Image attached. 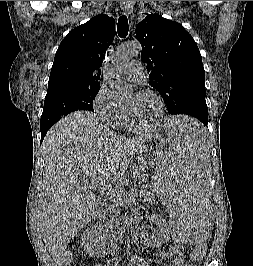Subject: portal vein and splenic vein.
Here are the masks:
<instances>
[{"label":"portal vein and splenic vein","mask_w":253,"mask_h":266,"mask_svg":"<svg viewBox=\"0 0 253 266\" xmlns=\"http://www.w3.org/2000/svg\"><path fill=\"white\" fill-rule=\"evenodd\" d=\"M91 182L93 184H98L99 187H101L103 189H107V191L109 193H116L117 195L120 194V192L118 191L117 187L116 188H110V185L105 180H102L101 178H93L91 180ZM140 194H141V192H140Z\"/></svg>","instance_id":"18ae733b"}]
</instances>
